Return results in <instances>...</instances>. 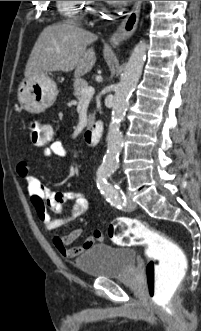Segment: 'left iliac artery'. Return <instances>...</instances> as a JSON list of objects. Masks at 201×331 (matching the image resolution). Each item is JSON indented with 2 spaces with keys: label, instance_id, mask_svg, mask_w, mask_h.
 I'll list each match as a JSON object with an SVG mask.
<instances>
[{
  "label": "left iliac artery",
  "instance_id": "44dca946",
  "mask_svg": "<svg viewBox=\"0 0 201 331\" xmlns=\"http://www.w3.org/2000/svg\"><path fill=\"white\" fill-rule=\"evenodd\" d=\"M114 171V169H109L99 173L97 177V186L111 205L121 209L122 206H125L126 200H122V198L118 195L117 190L119 187H117V185L112 186L108 183L109 178L114 173Z\"/></svg>",
  "mask_w": 201,
  "mask_h": 331
}]
</instances>
